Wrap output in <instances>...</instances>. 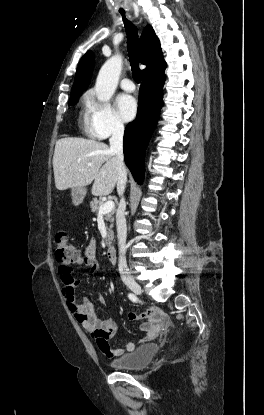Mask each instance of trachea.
Wrapping results in <instances>:
<instances>
[{
  "instance_id": "1",
  "label": "trachea",
  "mask_w": 264,
  "mask_h": 415,
  "mask_svg": "<svg viewBox=\"0 0 264 415\" xmlns=\"http://www.w3.org/2000/svg\"><path fill=\"white\" fill-rule=\"evenodd\" d=\"M125 29L127 32L128 56L131 65L132 75L137 83L141 82V71L139 68V45L136 27L125 17V13L121 12Z\"/></svg>"
}]
</instances>
